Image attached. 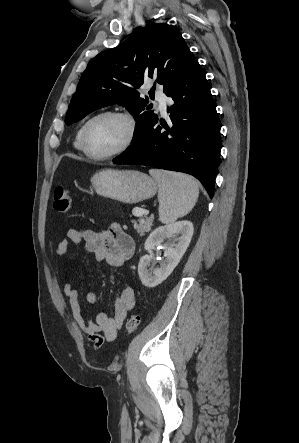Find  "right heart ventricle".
Returning <instances> with one entry per match:
<instances>
[{
	"label": "right heart ventricle",
	"instance_id": "obj_1",
	"mask_svg": "<svg viewBox=\"0 0 299 443\" xmlns=\"http://www.w3.org/2000/svg\"><path fill=\"white\" fill-rule=\"evenodd\" d=\"M82 127H83V126H81V127L78 129V131H77V133H76V135H75V138H74V142H73L74 148H75L76 150H78V151H82V148H81V145H80V135H81Z\"/></svg>",
	"mask_w": 299,
	"mask_h": 443
}]
</instances>
